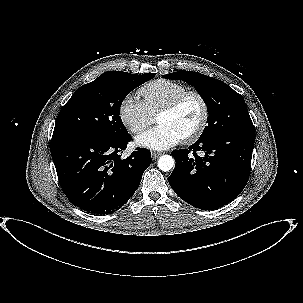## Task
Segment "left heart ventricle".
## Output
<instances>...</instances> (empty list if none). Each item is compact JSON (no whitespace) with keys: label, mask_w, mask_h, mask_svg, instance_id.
Segmentation results:
<instances>
[{"label":"left heart ventricle","mask_w":303,"mask_h":303,"mask_svg":"<svg viewBox=\"0 0 303 303\" xmlns=\"http://www.w3.org/2000/svg\"><path fill=\"white\" fill-rule=\"evenodd\" d=\"M200 118V103L195 97L191 96L185 99L175 111L158 115L156 122L169 125L183 138L197 127Z\"/></svg>","instance_id":"left-heart-ventricle-1"}]
</instances>
